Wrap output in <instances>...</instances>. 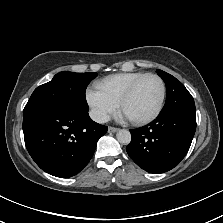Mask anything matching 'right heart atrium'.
Here are the masks:
<instances>
[{
  "label": "right heart atrium",
  "instance_id": "d8ad5b80",
  "mask_svg": "<svg viewBox=\"0 0 223 223\" xmlns=\"http://www.w3.org/2000/svg\"><path fill=\"white\" fill-rule=\"evenodd\" d=\"M91 116L98 122H105L119 108V101L111 97L98 83L91 86L87 94Z\"/></svg>",
  "mask_w": 223,
  "mask_h": 223
}]
</instances>
